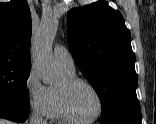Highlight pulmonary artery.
<instances>
[{
	"label": "pulmonary artery",
	"mask_w": 156,
	"mask_h": 124,
	"mask_svg": "<svg viewBox=\"0 0 156 124\" xmlns=\"http://www.w3.org/2000/svg\"><path fill=\"white\" fill-rule=\"evenodd\" d=\"M54 60L58 65L68 71H74V60L71 53L63 46L56 45L53 50Z\"/></svg>",
	"instance_id": "obj_1"
}]
</instances>
